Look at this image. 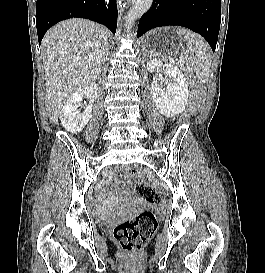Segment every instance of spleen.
Here are the masks:
<instances>
[{"instance_id":"3e777b00","label":"spleen","mask_w":265,"mask_h":273,"mask_svg":"<svg viewBox=\"0 0 265 273\" xmlns=\"http://www.w3.org/2000/svg\"><path fill=\"white\" fill-rule=\"evenodd\" d=\"M176 31L180 39L186 42L187 48L190 51V61L196 72L197 79L201 83H206L209 79L211 66L209 45L202 37L188 29L177 28Z\"/></svg>"}]
</instances>
